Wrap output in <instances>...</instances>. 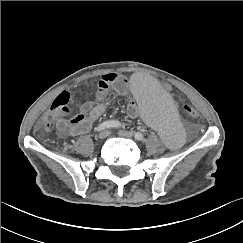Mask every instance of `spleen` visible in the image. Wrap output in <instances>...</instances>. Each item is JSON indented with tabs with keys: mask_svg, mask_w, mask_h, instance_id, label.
Instances as JSON below:
<instances>
[{
	"mask_svg": "<svg viewBox=\"0 0 243 243\" xmlns=\"http://www.w3.org/2000/svg\"><path fill=\"white\" fill-rule=\"evenodd\" d=\"M130 92L162 143L175 145L183 139L185 124L177 114L172 99L153 75H136L130 83Z\"/></svg>",
	"mask_w": 243,
	"mask_h": 243,
	"instance_id": "obj_1",
	"label": "spleen"
}]
</instances>
